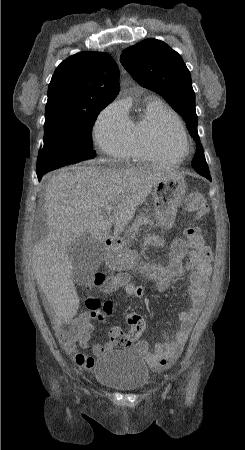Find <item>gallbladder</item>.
<instances>
[{"mask_svg":"<svg viewBox=\"0 0 245 450\" xmlns=\"http://www.w3.org/2000/svg\"><path fill=\"white\" fill-rule=\"evenodd\" d=\"M103 251L101 243L94 241L88 235H83L71 243L68 254L73 259L75 281L100 266L103 260Z\"/></svg>","mask_w":245,"mask_h":450,"instance_id":"1","label":"gallbladder"}]
</instances>
